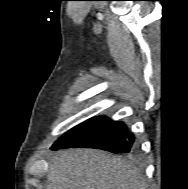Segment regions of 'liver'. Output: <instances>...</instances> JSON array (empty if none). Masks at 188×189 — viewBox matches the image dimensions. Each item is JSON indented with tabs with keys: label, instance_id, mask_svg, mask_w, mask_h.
Listing matches in <instances>:
<instances>
[{
	"label": "liver",
	"instance_id": "liver-1",
	"mask_svg": "<svg viewBox=\"0 0 188 189\" xmlns=\"http://www.w3.org/2000/svg\"><path fill=\"white\" fill-rule=\"evenodd\" d=\"M46 189H146L125 160L92 149L60 150L49 160Z\"/></svg>",
	"mask_w": 188,
	"mask_h": 189
}]
</instances>
